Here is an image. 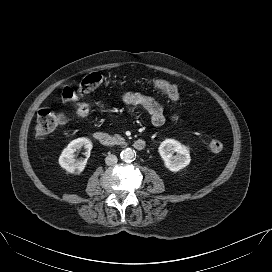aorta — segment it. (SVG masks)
I'll return each mask as SVG.
<instances>
[{"instance_id":"aorta-1","label":"aorta","mask_w":272,"mask_h":272,"mask_svg":"<svg viewBox=\"0 0 272 272\" xmlns=\"http://www.w3.org/2000/svg\"><path fill=\"white\" fill-rule=\"evenodd\" d=\"M120 157L124 162H131L135 157V151L131 148H126L120 153Z\"/></svg>"}]
</instances>
